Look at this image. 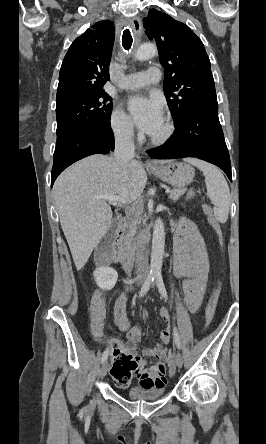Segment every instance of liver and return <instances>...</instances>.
<instances>
[{"label": "liver", "instance_id": "6515ba94", "mask_svg": "<svg viewBox=\"0 0 266 444\" xmlns=\"http://www.w3.org/2000/svg\"><path fill=\"white\" fill-rule=\"evenodd\" d=\"M169 161H162L166 163ZM147 174L135 160L122 164L113 157L88 156L66 170L55 181L53 192L60 224L77 270L112 224V210L102 195H116L128 202L143 192Z\"/></svg>", "mask_w": 266, "mask_h": 444}]
</instances>
